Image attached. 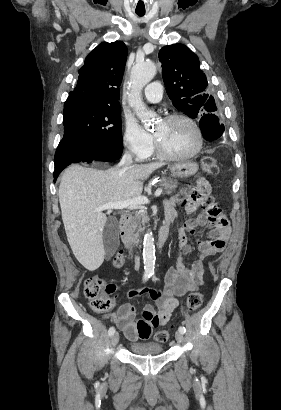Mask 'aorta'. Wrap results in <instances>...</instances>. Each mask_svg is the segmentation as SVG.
Here are the masks:
<instances>
[{"label": "aorta", "instance_id": "1", "mask_svg": "<svg viewBox=\"0 0 281 410\" xmlns=\"http://www.w3.org/2000/svg\"><path fill=\"white\" fill-rule=\"evenodd\" d=\"M156 75V66L152 62L137 63L130 73L129 105L142 123L148 125L152 115L147 111L141 98L143 87ZM143 260L146 274H153L155 269V245L152 232H147L143 240Z\"/></svg>", "mask_w": 281, "mask_h": 410}]
</instances>
